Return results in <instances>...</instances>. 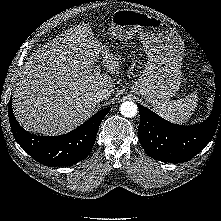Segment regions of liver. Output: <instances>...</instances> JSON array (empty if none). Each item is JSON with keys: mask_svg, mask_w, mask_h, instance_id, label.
I'll use <instances>...</instances> for the list:
<instances>
[{"mask_svg": "<svg viewBox=\"0 0 221 221\" xmlns=\"http://www.w3.org/2000/svg\"><path fill=\"white\" fill-rule=\"evenodd\" d=\"M100 52L108 72L117 74V58L100 45L87 24L66 30L34 52L13 90L19 124L29 132L61 135L88 119L97 104L92 94L101 90L109 98L115 89L112 76L93 70Z\"/></svg>", "mask_w": 221, "mask_h": 221, "instance_id": "1", "label": "liver"}]
</instances>
